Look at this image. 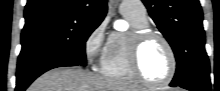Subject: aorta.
Segmentation results:
<instances>
[{
  "mask_svg": "<svg viewBox=\"0 0 220 91\" xmlns=\"http://www.w3.org/2000/svg\"><path fill=\"white\" fill-rule=\"evenodd\" d=\"M116 27L118 29H125L126 28V26L123 23H119Z\"/></svg>",
  "mask_w": 220,
  "mask_h": 91,
  "instance_id": "aorta-1",
  "label": "aorta"
}]
</instances>
